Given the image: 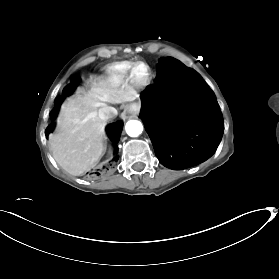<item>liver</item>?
I'll use <instances>...</instances> for the list:
<instances>
[{
    "mask_svg": "<svg viewBox=\"0 0 279 279\" xmlns=\"http://www.w3.org/2000/svg\"><path fill=\"white\" fill-rule=\"evenodd\" d=\"M137 92L116 82L100 81L84 97L68 98L57 119L56 132L49 137L55 161L71 175L93 168L106 151V122L98 117L104 102L134 101Z\"/></svg>",
    "mask_w": 279,
    "mask_h": 279,
    "instance_id": "1",
    "label": "liver"
}]
</instances>
